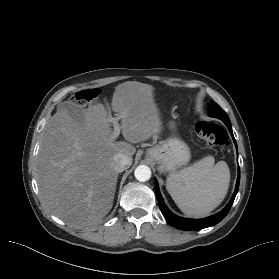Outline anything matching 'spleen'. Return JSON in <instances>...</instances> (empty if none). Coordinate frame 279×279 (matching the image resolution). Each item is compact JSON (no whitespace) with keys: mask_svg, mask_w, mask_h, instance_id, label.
Instances as JSON below:
<instances>
[{"mask_svg":"<svg viewBox=\"0 0 279 279\" xmlns=\"http://www.w3.org/2000/svg\"><path fill=\"white\" fill-rule=\"evenodd\" d=\"M229 183L227 163L219 161L215 164L213 156H206L177 173H171L166 189L184 214L200 218L222 203Z\"/></svg>","mask_w":279,"mask_h":279,"instance_id":"obj_1","label":"spleen"}]
</instances>
